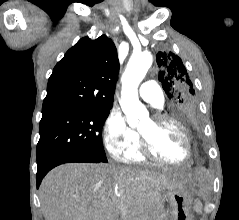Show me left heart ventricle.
I'll return each mask as SVG.
<instances>
[{
  "label": "left heart ventricle",
  "mask_w": 239,
  "mask_h": 220,
  "mask_svg": "<svg viewBox=\"0 0 239 220\" xmlns=\"http://www.w3.org/2000/svg\"><path fill=\"white\" fill-rule=\"evenodd\" d=\"M139 131L150 141L159 156L171 161H179L185 157V140L175 125H156L151 118H147L140 124Z\"/></svg>",
  "instance_id": "1"
}]
</instances>
